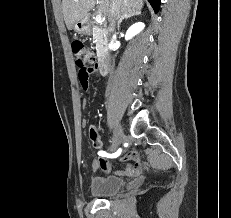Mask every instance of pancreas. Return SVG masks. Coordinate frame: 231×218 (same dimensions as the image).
I'll return each instance as SVG.
<instances>
[{
	"label": "pancreas",
	"mask_w": 231,
	"mask_h": 218,
	"mask_svg": "<svg viewBox=\"0 0 231 218\" xmlns=\"http://www.w3.org/2000/svg\"><path fill=\"white\" fill-rule=\"evenodd\" d=\"M93 39L96 42V48L102 49L105 43V39L103 33L100 31V29L97 26L93 28Z\"/></svg>",
	"instance_id": "1"
}]
</instances>
